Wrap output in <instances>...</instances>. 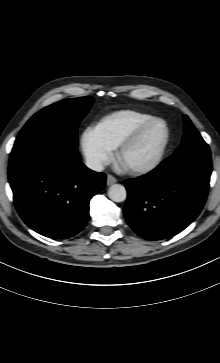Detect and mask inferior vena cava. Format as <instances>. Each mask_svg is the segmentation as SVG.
Segmentation results:
<instances>
[{
  "label": "inferior vena cava",
  "mask_w": 220,
  "mask_h": 363,
  "mask_svg": "<svg viewBox=\"0 0 220 363\" xmlns=\"http://www.w3.org/2000/svg\"><path fill=\"white\" fill-rule=\"evenodd\" d=\"M86 166L94 171L100 172L104 169L103 163L95 158H87L86 159Z\"/></svg>",
  "instance_id": "602c4592"
}]
</instances>
